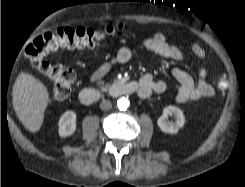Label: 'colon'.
<instances>
[{
  "mask_svg": "<svg viewBox=\"0 0 245 187\" xmlns=\"http://www.w3.org/2000/svg\"><path fill=\"white\" fill-rule=\"evenodd\" d=\"M117 29L119 27L113 26H108L103 31L86 27L60 28L44 33L26 47L25 55L29 63L54 82V89L50 96L52 102L63 101L69 97L75 81V72L65 65L48 62L45 57L65 47H95L105 35L112 34ZM217 86L221 92H225L228 82L224 77H219Z\"/></svg>",
  "mask_w": 245,
  "mask_h": 187,
  "instance_id": "1",
  "label": "colon"
}]
</instances>
